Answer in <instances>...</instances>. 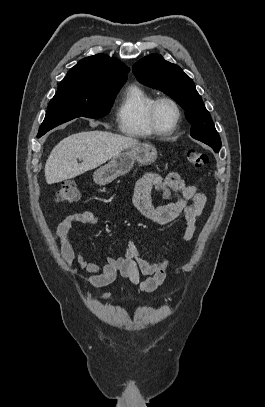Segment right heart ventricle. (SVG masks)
<instances>
[{"mask_svg": "<svg viewBox=\"0 0 265 407\" xmlns=\"http://www.w3.org/2000/svg\"><path fill=\"white\" fill-rule=\"evenodd\" d=\"M155 97L143 87L132 84L123 92L116 109L119 130L131 137L147 138L156 133L152 130L148 111Z\"/></svg>", "mask_w": 265, "mask_h": 407, "instance_id": "right-heart-ventricle-1", "label": "right heart ventricle"}]
</instances>
